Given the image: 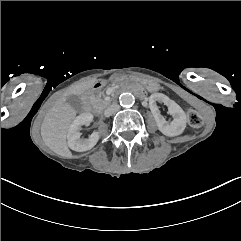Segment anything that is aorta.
Here are the masks:
<instances>
[{
    "label": "aorta",
    "instance_id": "762f6f07",
    "mask_svg": "<svg viewBox=\"0 0 241 241\" xmlns=\"http://www.w3.org/2000/svg\"><path fill=\"white\" fill-rule=\"evenodd\" d=\"M134 96L131 93H123L119 97L120 105L127 107L134 104Z\"/></svg>",
    "mask_w": 241,
    "mask_h": 241
}]
</instances>
